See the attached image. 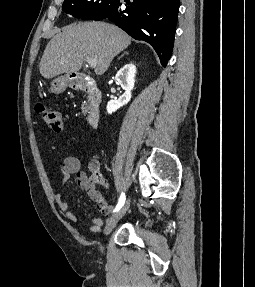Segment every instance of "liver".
<instances>
[{
    "instance_id": "obj_1",
    "label": "liver",
    "mask_w": 255,
    "mask_h": 287,
    "mask_svg": "<svg viewBox=\"0 0 255 287\" xmlns=\"http://www.w3.org/2000/svg\"><path fill=\"white\" fill-rule=\"evenodd\" d=\"M131 44L120 28L104 22H84L62 28L49 44L39 64L41 76L50 80L59 74H77L84 58H97L95 74L102 76L113 58Z\"/></svg>"
}]
</instances>
